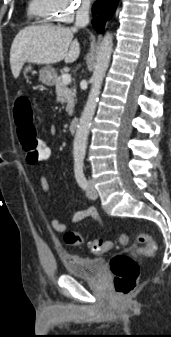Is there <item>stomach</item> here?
<instances>
[{"instance_id": "0dacf381", "label": "stomach", "mask_w": 171, "mask_h": 337, "mask_svg": "<svg viewBox=\"0 0 171 337\" xmlns=\"http://www.w3.org/2000/svg\"><path fill=\"white\" fill-rule=\"evenodd\" d=\"M32 69L30 64L26 65L23 69V73L27 74ZM40 80L46 85H52L55 83L57 78L56 70L50 66L43 67L40 70Z\"/></svg>"}]
</instances>
